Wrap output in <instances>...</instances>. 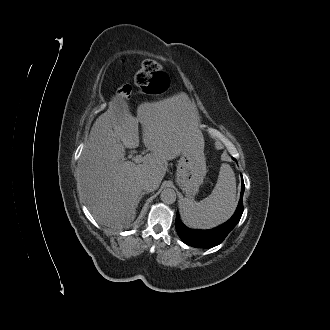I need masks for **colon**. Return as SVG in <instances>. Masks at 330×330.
Returning a JSON list of instances; mask_svg holds the SVG:
<instances>
[{
    "mask_svg": "<svg viewBox=\"0 0 330 330\" xmlns=\"http://www.w3.org/2000/svg\"><path fill=\"white\" fill-rule=\"evenodd\" d=\"M136 90L129 84L120 86L117 95L121 98H130L135 91L157 94L165 90L168 78L163 71V64L156 59L144 61L134 74Z\"/></svg>",
    "mask_w": 330,
    "mask_h": 330,
    "instance_id": "5ec220e1",
    "label": "colon"
}]
</instances>
